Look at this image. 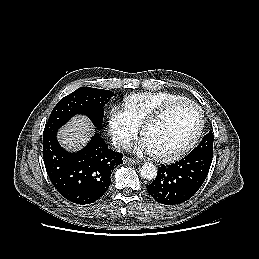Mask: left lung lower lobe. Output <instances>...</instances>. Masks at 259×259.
<instances>
[{"label":"left lung lower lobe","mask_w":259,"mask_h":259,"mask_svg":"<svg viewBox=\"0 0 259 259\" xmlns=\"http://www.w3.org/2000/svg\"><path fill=\"white\" fill-rule=\"evenodd\" d=\"M212 157L190 153L171 165H162L156 179L147 185L148 193L159 203L175 205L190 199L205 181Z\"/></svg>","instance_id":"0a47b994"}]
</instances>
